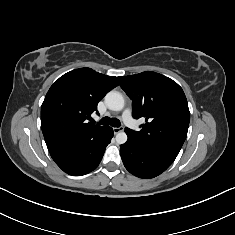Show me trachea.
Segmentation results:
<instances>
[{
    "instance_id": "trachea-1",
    "label": "trachea",
    "mask_w": 235,
    "mask_h": 235,
    "mask_svg": "<svg viewBox=\"0 0 235 235\" xmlns=\"http://www.w3.org/2000/svg\"><path fill=\"white\" fill-rule=\"evenodd\" d=\"M100 124L102 125H111L113 127H120V121L117 118H109V117H103L100 120Z\"/></svg>"
}]
</instances>
